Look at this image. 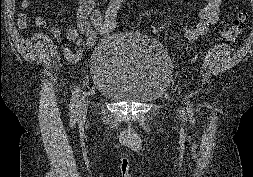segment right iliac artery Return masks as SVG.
I'll return each instance as SVG.
<instances>
[{"mask_svg":"<svg viewBox=\"0 0 253 177\" xmlns=\"http://www.w3.org/2000/svg\"><path fill=\"white\" fill-rule=\"evenodd\" d=\"M79 93H80V88L77 87L75 91L72 94L71 102H70V112L72 117H75L77 114L78 110V100H79Z\"/></svg>","mask_w":253,"mask_h":177,"instance_id":"1","label":"right iliac artery"}]
</instances>
